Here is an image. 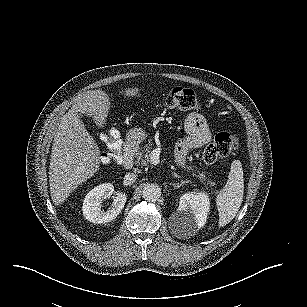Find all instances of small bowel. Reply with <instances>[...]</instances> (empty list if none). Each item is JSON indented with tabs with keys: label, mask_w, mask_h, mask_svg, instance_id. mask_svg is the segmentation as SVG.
<instances>
[{
	"label": "small bowel",
	"mask_w": 307,
	"mask_h": 307,
	"mask_svg": "<svg viewBox=\"0 0 307 307\" xmlns=\"http://www.w3.org/2000/svg\"><path fill=\"white\" fill-rule=\"evenodd\" d=\"M185 130L188 137L180 141L176 147V159L183 163L188 153L209 142L211 134L204 117L199 113L188 115L185 120Z\"/></svg>",
	"instance_id": "1"
}]
</instances>
